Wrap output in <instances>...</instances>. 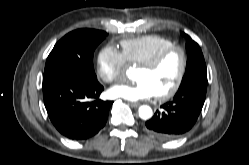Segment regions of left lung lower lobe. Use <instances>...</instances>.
<instances>
[{
    "mask_svg": "<svg viewBox=\"0 0 249 165\" xmlns=\"http://www.w3.org/2000/svg\"><path fill=\"white\" fill-rule=\"evenodd\" d=\"M207 85L191 84L179 89L172 101L161 106L146 122L147 129L163 140L176 139L195 124L205 101Z\"/></svg>",
    "mask_w": 249,
    "mask_h": 165,
    "instance_id": "1",
    "label": "left lung lower lobe"
}]
</instances>
